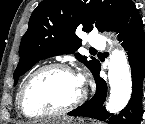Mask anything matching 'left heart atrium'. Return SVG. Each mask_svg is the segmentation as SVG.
<instances>
[{"instance_id": "left-heart-atrium-1", "label": "left heart atrium", "mask_w": 145, "mask_h": 124, "mask_svg": "<svg viewBox=\"0 0 145 124\" xmlns=\"http://www.w3.org/2000/svg\"><path fill=\"white\" fill-rule=\"evenodd\" d=\"M78 80H79V82H80V83H82V81H81V79H80V78H79Z\"/></svg>"}]
</instances>
